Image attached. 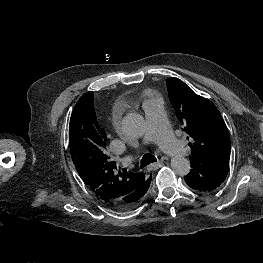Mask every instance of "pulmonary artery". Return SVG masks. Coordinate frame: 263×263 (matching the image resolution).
I'll use <instances>...</instances> for the list:
<instances>
[{
	"instance_id": "obj_1",
	"label": "pulmonary artery",
	"mask_w": 263,
	"mask_h": 263,
	"mask_svg": "<svg viewBox=\"0 0 263 263\" xmlns=\"http://www.w3.org/2000/svg\"><path fill=\"white\" fill-rule=\"evenodd\" d=\"M143 108L147 122L143 142L156 141L169 155H184L183 145L173 135L168 125L162 102L159 99H153L146 102Z\"/></svg>"
}]
</instances>
